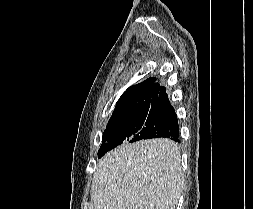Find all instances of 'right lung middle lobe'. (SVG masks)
<instances>
[{"instance_id":"obj_1","label":"right lung middle lobe","mask_w":253,"mask_h":209,"mask_svg":"<svg viewBox=\"0 0 253 209\" xmlns=\"http://www.w3.org/2000/svg\"><path fill=\"white\" fill-rule=\"evenodd\" d=\"M158 115V110L143 108L110 120L102 136L98 157H102L106 152L123 142L141 140V135L155 125Z\"/></svg>"}]
</instances>
